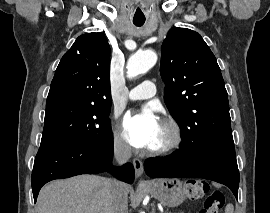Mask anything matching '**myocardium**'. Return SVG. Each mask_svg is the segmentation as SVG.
Masks as SVG:
<instances>
[{
    "mask_svg": "<svg viewBox=\"0 0 270 213\" xmlns=\"http://www.w3.org/2000/svg\"><path fill=\"white\" fill-rule=\"evenodd\" d=\"M160 123L166 128L167 139L162 145L148 149V154L153 156L168 154L176 150L181 145L183 139L181 128L174 119L164 117Z\"/></svg>",
    "mask_w": 270,
    "mask_h": 213,
    "instance_id": "f54148a6",
    "label": "myocardium"
}]
</instances>
